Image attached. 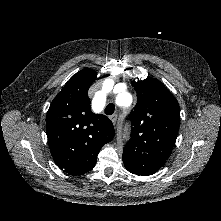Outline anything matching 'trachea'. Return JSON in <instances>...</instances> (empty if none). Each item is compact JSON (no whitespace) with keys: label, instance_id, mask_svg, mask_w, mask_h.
<instances>
[{"label":"trachea","instance_id":"obj_1","mask_svg":"<svg viewBox=\"0 0 221 221\" xmlns=\"http://www.w3.org/2000/svg\"><path fill=\"white\" fill-rule=\"evenodd\" d=\"M115 110V106L113 103H110L106 106L105 108V114L106 115H112L114 113Z\"/></svg>","mask_w":221,"mask_h":221}]
</instances>
